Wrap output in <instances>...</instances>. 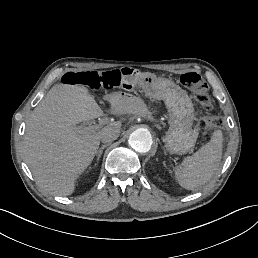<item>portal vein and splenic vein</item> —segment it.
I'll list each match as a JSON object with an SVG mask.
<instances>
[{"label": "portal vein and splenic vein", "instance_id": "18ae733b", "mask_svg": "<svg viewBox=\"0 0 258 258\" xmlns=\"http://www.w3.org/2000/svg\"><path fill=\"white\" fill-rule=\"evenodd\" d=\"M82 130V128H80ZM88 129L91 131V132H96L100 129V125H92V126H89Z\"/></svg>", "mask_w": 258, "mask_h": 258}]
</instances>
